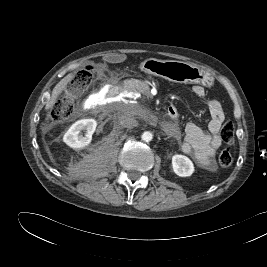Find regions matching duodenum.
I'll list each match as a JSON object with an SVG mask.
<instances>
[{
	"mask_svg": "<svg viewBox=\"0 0 267 267\" xmlns=\"http://www.w3.org/2000/svg\"><path fill=\"white\" fill-rule=\"evenodd\" d=\"M129 85L125 81H120L118 83H113L109 87V92L111 95H113L116 98H123L128 99L129 98ZM167 114L170 118L175 119L177 117V110L174 106H170L167 109Z\"/></svg>",
	"mask_w": 267,
	"mask_h": 267,
	"instance_id": "410a0bca",
	"label": "duodenum"
}]
</instances>
